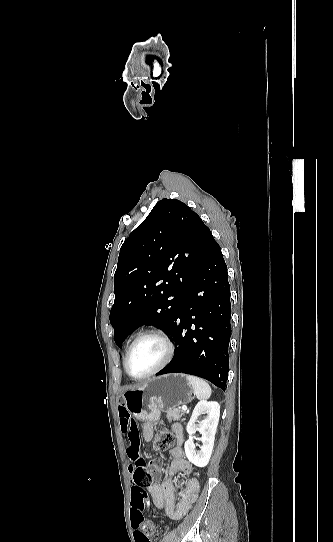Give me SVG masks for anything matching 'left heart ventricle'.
<instances>
[{"label":"left heart ventricle","mask_w":333,"mask_h":542,"mask_svg":"<svg viewBox=\"0 0 333 542\" xmlns=\"http://www.w3.org/2000/svg\"><path fill=\"white\" fill-rule=\"evenodd\" d=\"M165 354L163 344L155 338H146L138 342L133 348L129 360L128 369L133 376H142L163 360Z\"/></svg>","instance_id":"obj_1"}]
</instances>
